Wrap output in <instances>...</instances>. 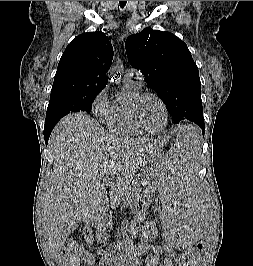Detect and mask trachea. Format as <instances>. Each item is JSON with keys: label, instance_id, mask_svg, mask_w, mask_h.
Wrapping results in <instances>:
<instances>
[{"label": "trachea", "instance_id": "1", "mask_svg": "<svg viewBox=\"0 0 253 266\" xmlns=\"http://www.w3.org/2000/svg\"><path fill=\"white\" fill-rule=\"evenodd\" d=\"M127 1H119L120 7L123 8L126 5Z\"/></svg>", "mask_w": 253, "mask_h": 266}]
</instances>
